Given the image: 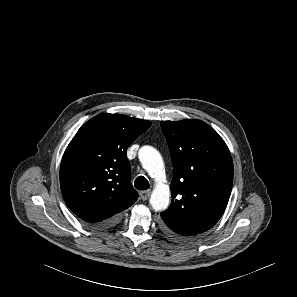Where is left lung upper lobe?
Here are the masks:
<instances>
[{"instance_id": "left-lung-upper-lobe-1", "label": "left lung upper lobe", "mask_w": 297, "mask_h": 297, "mask_svg": "<svg viewBox=\"0 0 297 297\" xmlns=\"http://www.w3.org/2000/svg\"><path fill=\"white\" fill-rule=\"evenodd\" d=\"M172 164V202L162 224L181 239L212 228L223 215L233 184V162L224 140L201 120L163 121Z\"/></svg>"}]
</instances>
